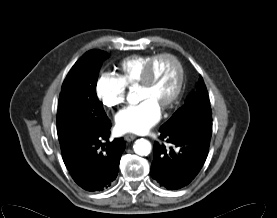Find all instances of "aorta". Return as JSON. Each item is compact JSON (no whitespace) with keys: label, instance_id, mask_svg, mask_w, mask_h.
I'll return each instance as SVG.
<instances>
[{"label":"aorta","instance_id":"obj_1","mask_svg":"<svg viewBox=\"0 0 277 218\" xmlns=\"http://www.w3.org/2000/svg\"><path fill=\"white\" fill-rule=\"evenodd\" d=\"M137 99L135 94L128 95V101L134 102ZM134 152L139 156H147L150 154L152 146L151 143L146 139H138L133 145Z\"/></svg>","mask_w":277,"mask_h":218}]
</instances>
